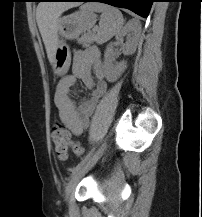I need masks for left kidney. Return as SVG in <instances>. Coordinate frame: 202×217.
Here are the masks:
<instances>
[{
    "label": "left kidney",
    "mask_w": 202,
    "mask_h": 217,
    "mask_svg": "<svg viewBox=\"0 0 202 217\" xmlns=\"http://www.w3.org/2000/svg\"><path fill=\"white\" fill-rule=\"evenodd\" d=\"M140 26L136 21H129L125 27L117 34V44H121L124 55H132L136 51L138 44V35ZM132 34L127 38L126 43H123V37ZM113 46L109 44L104 54V74L108 82H115L127 68L126 62H115L113 56Z\"/></svg>",
    "instance_id": "obj_1"
}]
</instances>
